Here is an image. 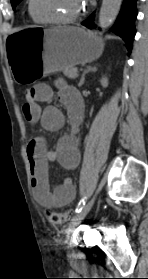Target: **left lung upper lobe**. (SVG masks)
I'll use <instances>...</instances> for the list:
<instances>
[{"label": "left lung upper lobe", "mask_w": 148, "mask_h": 279, "mask_svg": "<svg viewBox=\"0 0 148 279\" xmlns=\"http://www.w3.org/2000/svg\"><path fill=\"white\" fill-rule=\"evenodd\" d=\"M21 0H11V4L13 9H15L16 5L20 2Z\"/></svg>", "instance_id": "obj_1"}]
</instances>
